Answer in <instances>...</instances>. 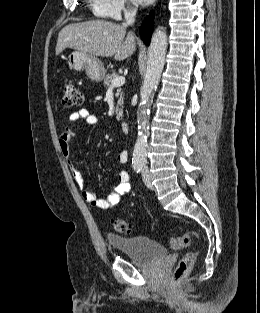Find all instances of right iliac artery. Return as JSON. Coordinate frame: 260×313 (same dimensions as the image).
Wrapping results in <instances>:
<instances>
[{"mask_svg": "<svg viewBox=\"0 0 260 313\" xmlns=\"http://www.w3.org/2000/svg\"><path fill=\"white\" fill-rule=\"evenodd\" d=\"M133 167L137 173H140L142 171V165H134Z\"/></svg>", "mask_w": 260, "mask_h": 313, "instance_id": "82829eb1", "label": "right iliac artery"}]
</instances>
